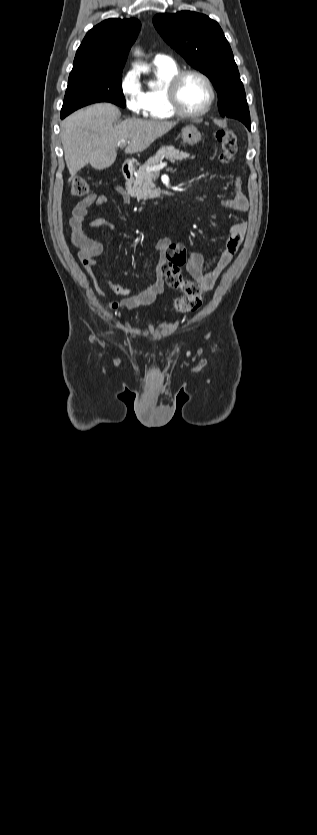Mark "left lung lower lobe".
<instances>
[{
  "label": "left lung lower lobe",
  "mask_w": 317,
  "mask_h": 835,
  "mask_svg": "<svg viewBox=\"0 0 317 835\" xmlns=\"http://www.w3.org/2000/svg\"><path fill=\"white\" fill-rule=\"evenodd\" d=\"M244 124L249 130L251 129L250 122H244Z\"/></svg>",
  "instance_id": "0a47b994"
}]
</instances>
